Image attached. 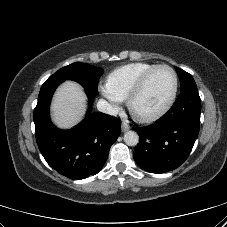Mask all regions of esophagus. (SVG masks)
I'll return each instance as SVG.
<instances>
[{
    "instance_id": "esophagus-1",
    "label": "esophagus",
    "mask_w": 227,
    "mask_h": 227,
    "mask_svg": "<svg viewBox=\"0 0 227 227\" xmlns=\"http://www.w3.org/2000/svg\"><path fill=\"white\" fill-rule=\"evenodd\" d=\"M129 129H130L129 124H127L126 122H122V124H121V130H122V132H126Z\"/></svg>"
}]
</instances>
